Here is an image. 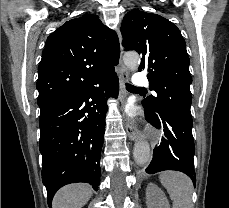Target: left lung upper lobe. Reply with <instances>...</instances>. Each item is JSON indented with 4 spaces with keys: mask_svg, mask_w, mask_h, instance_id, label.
Returning a JSON list of instances; mask_svg holds the SVG:
<instances>
[{
    "mask_svg": "<svg viewBox=\"0 0 229 208\" xmlns=\"http://www.w3.org/2000/svg\"><path fill=\"white\" fill-rule=\"evenodd\" d=\"M121 33L124 50L142 55L139 71L147 69L150 88L157 93L143 106L192 119L190 59L180 30L160 15L131 11L124 16Z\"/></svg>",
    "mask_w": 229,
    "mask_h": 208,
    "instance_id": "5c2ea615",
    "label": "left lung upper lobe"
}]
</instances>
